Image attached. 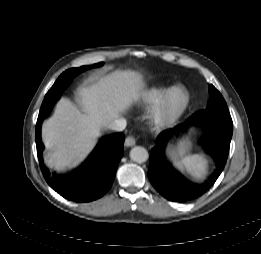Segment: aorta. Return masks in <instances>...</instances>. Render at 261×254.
Instances as JSON below:
<instances>
[{
    "instance_id": "aorta-1",
    "label": "aorta",
    "mask_w": 261,
    "mask_h": 254,
    "mask_svg": "<svg viewBox=\"0 0 261 254\" xmlns=\"http://www.w3.org/2000/svg\"><path fill=\"white\" fill-rule=\"evenodd\" d=\"M129 155L131 160L137 163H144L149 158L148 151L140 146L132 148Z\"/></svg>"
}]
</instances>
